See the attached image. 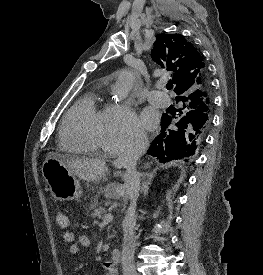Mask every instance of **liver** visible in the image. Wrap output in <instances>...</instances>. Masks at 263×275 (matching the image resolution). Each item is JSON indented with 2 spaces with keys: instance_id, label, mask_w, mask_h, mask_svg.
<instances>
[{
  "instance_id": "1",
  "label": "liver",
  "mask_w": 263,
  "mask_h": 275,
  "mask_svg": "<svg viewBox=\"0 0 263 275\" xmlns=\"http://www.w3.org/2000/svg\"><path fill=\"white\" fill-rule=\"evenodd\" d=\"M53 157L62 162V164L75 176L86 182H98L107 171L106 163L103 159H67L66 156L49 153L47 158ZM116 165V162H114ZM128 195L125 184H114L106 191V196L113 199H119Z\"/></svg>"
}]
</instances>
